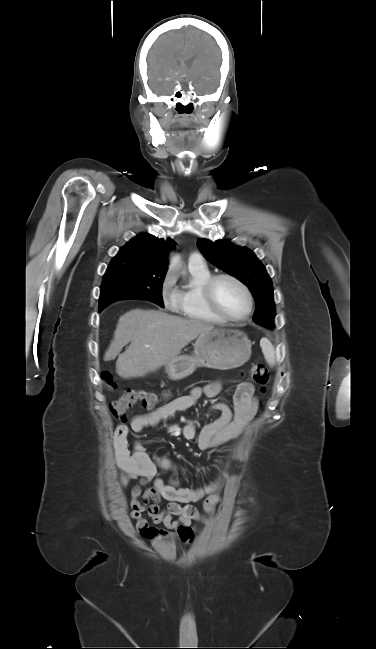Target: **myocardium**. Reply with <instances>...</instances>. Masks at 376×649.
Returning a JSON list of instances; mask_svg holds the SVG:
<instances>
[{"label":"myocardium","mask_w":376,"mask_h":649,"mask_svg":"<svg viewBox=\"0 0 376 649\" xmlns=\"http://www.w3.org/2000/svg\"><path fill=\"white\" fill-rule=\"evenodd\" d=\"M222 279H228V280H231V281L235 282L243 290V292L245 293L247 303H248V307H247L246 313L243 316L237 317V318L236 317H231L228 314H226L225 311L219 305V303L217 301V298H216L215 289H216L217 283ZM203 296H204V299H205L206 304L208 305V307L215 314H217L219 317H221L224 321H227V322H243V321H246L250 317V315L252 313V310H253L254 302H253V295H252V292H251L250 288L239 277H237V276H235V275H233L231 273H220V274L212 275L205 282V284L203 286Z\"/></svg>","instance_id":"obj_1"}]
</instances>
